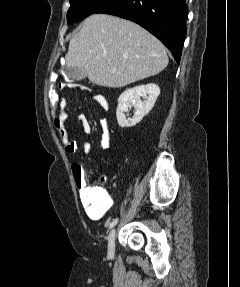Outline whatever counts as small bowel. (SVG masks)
<instances>
[{
  "label": "small bowel",
  "instance_id": "obj_1",
  "mask_svg": "<svg viewBox=\"0 0 240 287\" xmlns=\"http://www.w3.org/2000/svg\"><path fill=\"white\" fill-rule=\"evenodd\" d=\"M93 99L104 110H108L109 104L107 99L103 95H94ZM78 122L80 123L86 134L89 135L92 133L93 130L91 124L89 123L87 117L84 114L78 116ZM100 126L102 129L100 147L101 149L106 150L109 148L110 143L109 129L106 118L100 119ZM55 128L59 131L60 139L63 144L65 153L68 155L74 154L77 150V144L70 139L69 132L66 127V120L59 125H55ZM82 149L86 155H90L92 152V145L89 142H84L82 145ZM101 181L104 182L105 178H101ZM80 199L87 216L95 221L102 219L113 204L112 198L99 188H91L89 192L81 189Z\"/></svg>",
  "mask_w": 240,
  "mask_h": 287
}]
</instances>
